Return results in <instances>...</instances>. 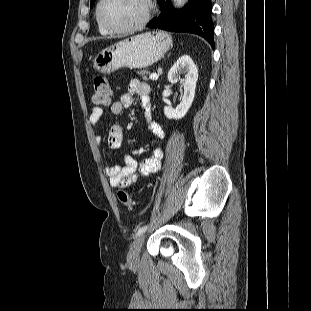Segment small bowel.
<instances>
[{
  "label": "small bowel",
  "mask_w": 311,
  "mask_h": 311,
  "mask_svg": "<svg viewBox=\"0 0 311 311\" xmlns=\"http://www.w3.org/2000/svg\"><path fill=\"white\" fill-rule=\"evenodd\" d=\"M135 97L139 98L140 106L144 112L147 122V128L159 139L165 138L163 127L151 119L150 87L147 83L137 79L130 80L128 91L121 95L120 99L109 104L110 110L114 115H120L125 109L131 107ZM103 108L94 106L91 108L88 121L95 128L103 116ZM94 137L97 143H100L101 136L95 132ZM123 140V130L119 124L110 127L107 137V143L110 149L116 150L121 147ZM164 153L160 147L153 150L152 156L138 163L135 158L129 154L122 157L121 164L111 165L105 168L108 182L113 188H127L134 185L140 178L160 171Z\"/></svg>",
  "instance_id": "small-bowel-1"
}]
</instances>
